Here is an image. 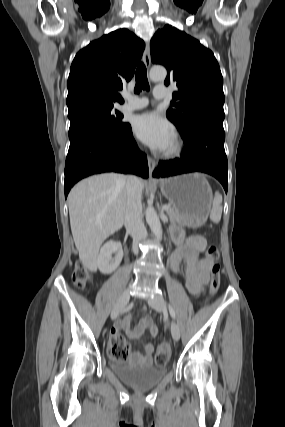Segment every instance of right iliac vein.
Listing matches in <instances>:
<instances>
[{"label": "right iliac vein", "mask_w": 285, "mask_h": 427, "mask_svg": "<svg viewBox=\"0 0 285 427\" xmlns=\"http://www.w3.org/2000/svg\"><path fill=\"white\" fill-rule=\"evenodd\" d=\"M130 299L129 290H124L120 297L118 298L112 312H111V319H115L119 316V314L123 311L125 306L127 305L128 301Z\"/></svg>", "instance_id": "right-iliac-vein-1"}]
</instances>
